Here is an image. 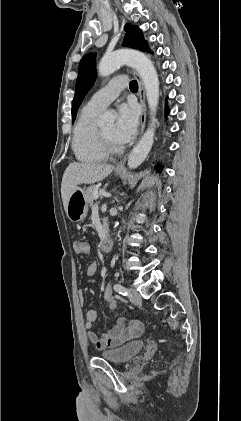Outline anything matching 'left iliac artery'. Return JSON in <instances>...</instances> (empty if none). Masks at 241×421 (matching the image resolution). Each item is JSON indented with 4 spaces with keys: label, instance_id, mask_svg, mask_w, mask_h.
Returning a JSON list of instances; mask_svg holds the SVG:
<instances>
[{
    "label": "left iliac artery",
    "instance_id": "44dca946",
    "mask_svg": "<svg viewBox=\"0 0 241 421\" xmlns=\"http://www.w3.org/2000/svg\"><path fill=\"white\" fill-rule=\"evenodd\" d=\"M114 290L116 292H118L119 294L123 295V296H127L128 295L127 289L123 285H121V284H115L114 285Z\"/></svg>",
    "mask_w": 241,
    "mask_h": 421
}]
</instances>
